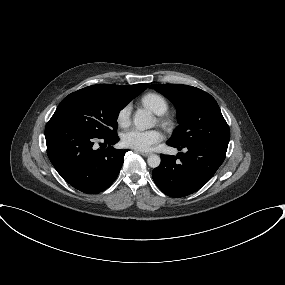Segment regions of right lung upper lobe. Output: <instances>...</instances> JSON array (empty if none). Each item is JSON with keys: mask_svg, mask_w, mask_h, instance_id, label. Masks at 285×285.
<instances>
[{"mask_svg": "<svg viewBox=\"0 0 285 285\" xmlns=\"http://www.w3.org/2000/svg\"><path fill=\"white\" fill-rule=\"evenodd\" d=\"M148 86L149 84L147 83L130 85V86L100 84V85L89 86L84 89L96 90V91L109 93L117 97L126 99L127 101L130 102L133 98H135L137 95L143 92Z\"/></svg>", "mask_w": 285, "mask_h": 285, "instance_id": "obj_1", "label": "right lung upper lobe"}]
</instances>
